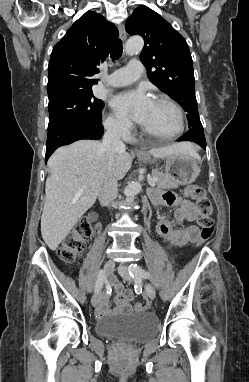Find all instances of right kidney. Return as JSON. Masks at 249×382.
Returning a JSON list of instances; mask_svg holds the SVG:
<instances>
[{
    "label": "right kidney",
    "instance_id": "1",
    "mask_svg": "<svg viewBox=\"0 0 249 382\" xmlns=\"http://www.w3.org/2000/svg\"><path fill=\"white\" fill-rule=\"evenodd\" d=\"M89 217H90V219H91V220H90L91 223H93V224L96 223V221H97L96 219H97V217H98L96 211H94V210L91 211Z\"/></svg>",
    "mask_w": 249,
    "mask_h": 382
}]
</instances>
